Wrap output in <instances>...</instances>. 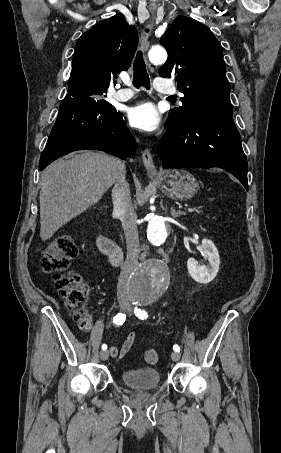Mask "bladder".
Masks as SVG:
<instances>
[{"instance_id": "31cf9c89", "label": "bladder", "mask_w": 281, "mask_h": 453, "mask_svg": "<svg viewBox=\"0 0 281 453\" xmlns=\"http://www.w3.org/2000/svg\"><path fill=\"white\" fill-rule=\"evenodd\" d=\"M120 378L125 385L135 389H151L160 384V374L153 368L124 370Z\"/></svg>"}]
</instances>
